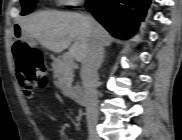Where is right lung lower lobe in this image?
Masks as SVG:
<instances>
[{
    "instance_id": "obj_1",
    "label": "right lung lower lobe",
    "mask_w": 182,
    "mask_h": 140,
    "mask_svg": "<svg viewBox=\"0 0 182 140\" xmlns=\"http://www.w3.org/2000/svg\"><path fill=\"white\" fill-rule=\"evenodd\" d=\"M151 0H100L86 5L94 17L115 37L127 39L144 19Z\"/></svg>"
}]
</instances>
